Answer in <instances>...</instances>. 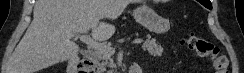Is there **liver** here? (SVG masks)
<instances>
[{
	"instance_id": "obj_1",
	"label": "liver",
	"mask_w": 244,
	"mask_h": 73,
	"mask_svg": "<svg viewBox=\"0 0 244 73\" xmlns=\"http://www.w3.org/2000/svg\"><path fill=\"white\" fill-rule=\"evenodd\" d=\"M133 0H37L33 21L15 48L7 73H37L76 58V33L92 30L99 41L109 39L115 26L100 22L119 17Z\"/></svg>"
}]
</instances>
